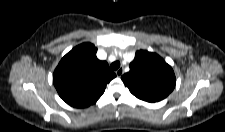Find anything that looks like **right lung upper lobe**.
<instances>
[{
    "label": "right lung upper lobe",
    "instance_id": "right-lung-upper-lobe-1",
    "mask_svg": "<svg viewBox=\"0 0 225 132\" xmlns=\"http://www.w3.org/2000/svg\"><path fill=\"white\" fill-rule=\"evenodd\" d=\"M96 52L93 44H80L61 59L54 71L53 83L59 96L73 107L96 103L107 83L116 77L107 62L97 59Z\"/></svg>",
    "mask_w": 225,
    "mask_h": 132
}]
</instances>
